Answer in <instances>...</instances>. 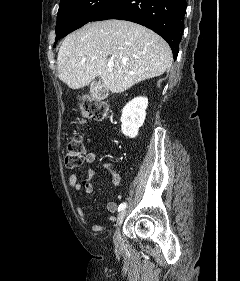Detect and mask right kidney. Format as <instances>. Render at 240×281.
I'll list each match as a JSON object with an SVG mask.
<instances>
[{"label":"right kidney","mask_w":240,"mask_h":281,"mask_svg":"<svg viewBox=\"0 0 240 281\" xmlns=\"http://www.w3.org/2000/svg\"><path fill=\"white\" fill-rule=\"evenodd\" d=\"M147 107L148 99L146 97H136L125 105L120 118L121 130L125 136L135 138L138 135L139 128L146 117Z\"/></svg>","instance_id":"ca27d5eb"}]
</instances>
